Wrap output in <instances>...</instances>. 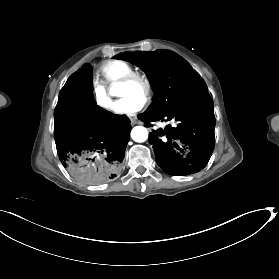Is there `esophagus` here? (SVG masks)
Instances as JSON below:
<instances>
[{"label": "esophagus", "mask_w": 279, "mask_h": 279, "mask_svg": "<svg viewBox=\"0 0 279 279\" xmlns=\"http://www.w3.org/2000/svg\"><path fill=\"white\" fill-rule=\"evenodd\" d=\"M130 120L133 124H139V121L136 117H131Z\"/></svg>", "instance_id": "34e87169"}]
</instances>
